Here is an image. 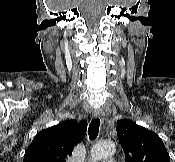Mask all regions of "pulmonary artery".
<instances>
[{"label":"pulmonary artery","instance_id":"pulmonary-artery-1","mask_svg":"<svg viewBox=\"0 0 175 162\" xmlns=\"http://www.w3.org/2000/svg\"><path fill=\"white\" fill-rule=\"evenodd\" d=\"M104 162H116L114 159H106Z\"/></svg>","mask_w":175,"mask_h":162}]
</instances>
